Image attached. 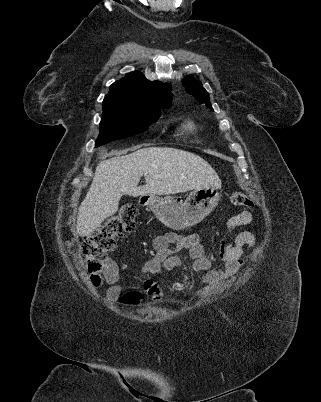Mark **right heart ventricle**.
Masks as SVG:
<instances>
[{"label": "right heart ventricle", "instance_id": "obj_1", "mask_svg": "<svg viewBox=\"0 0 321 402\" xmlns=\"http://www.w3.org/2000/svg\"><path fill=\"white\" fill-rule=\"evenodd\" d=\"M183 127H184L186 130L193 131V130H196V129H197V124H196L193 120H187V121L184 123Z\"/></svg>", "mask_w": 321, "mask_h": 402}]
</instances>
